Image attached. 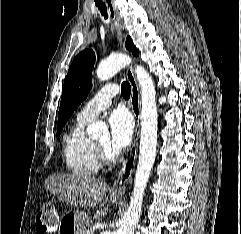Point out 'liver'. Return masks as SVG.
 Masks as SVG:
<instances>
[{"mask_svg":"<svg viewBox=\"0 0 241 234\" xmlns=\"http://www.w3.org/2000/svg\"><path fill=\"white\" fill-rule=\"evenodd\" d=\"M45 187L58 199L80 207L96 205L109 190L105 182L83 174H53L46 179Z\"/></svg>","mask_w":241,"mask_h":234,"instance_id":"liver-1","label":"liver"}]
</instances>
